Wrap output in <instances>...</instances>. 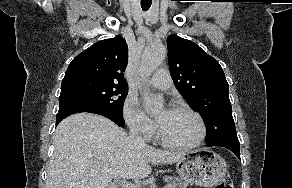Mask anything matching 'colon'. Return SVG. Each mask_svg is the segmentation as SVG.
I'll list each match as a JSON object with an SVG mask.
<instances>
[{
    "label": "colon",
    "mask_w": 292,
    "mask_h": 188,
    "mask_svg": "<svg viewBox=\"0 0 292 188\" xmlns=\"http://www.w3.org/2000/svg\"><path fill=\"white\" fill-rule=\"evenodd\" d=\"M214 188H233L232 180L229 176L225 177Z\"/></svg>",
    "instance_id": "obj_1"
}]
</instances>
